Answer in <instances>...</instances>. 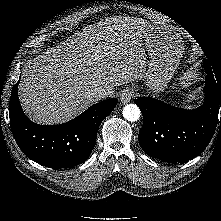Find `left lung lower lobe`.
I'll return each instance as SVG.
<instances>
[{
  "label": "left lung lower lobe",
  "mask_w": 221,
  "mask_h": 221,
  "mask_svg": "<svg viewBox=\"0 0 221 221\" xmlns=\"http://www.w3.org/2000/svg\"><path fill=\"white\" fill-rule=\"evenodd\" d=\"M206 70L203 105L194 110L173 107L160 100L140 97L134 102L143 115L138 140L145 153L163 162L183 164L201 154L219 123L221 84Z\"/></svg>",
  "instance_id": "1"
}]
</instances>
